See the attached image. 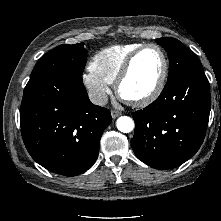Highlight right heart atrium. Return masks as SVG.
Masks as SVG:
<instances>
[{"mask_svg":"<svg viewBox=\"0 0 221 221\" xmlns=\"http://www.w3.org/2000/svg\"><path fill=\"white\" fill-rule=\"evenodd\" d=\"M82 82L94 103L102 105L111 93L109 83L88 69L82 76Z\"/></svg>","mask_w":221,"mask_h":221,"instance_id":"1","label":"right heart atrium"}]
</instances>
